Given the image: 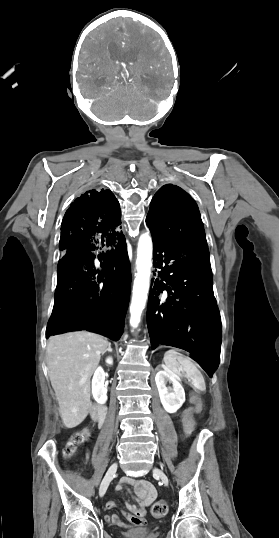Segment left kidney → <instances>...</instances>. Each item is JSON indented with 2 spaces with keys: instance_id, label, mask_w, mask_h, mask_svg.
Here are the masks:
<instances>
[{
  "instance_id": "5707ae66",
  "label": "left kidney",
  "mask_w": 279,
  "mask_h": 538,
  "mask_svg": "<svg viewBox=\"0 0 279 538\" xmlns=\"http://www.w3.org/2000/svg\"><path fill=\"white\" fill-rule=\"evenodd\" d=\"M155 382L163 408L166 412L174 414L185 402L184 388H182L177 374L168 368H163L157 372ZM167 382H172V388H166Z\"/></svg>"
}]
</instances>
